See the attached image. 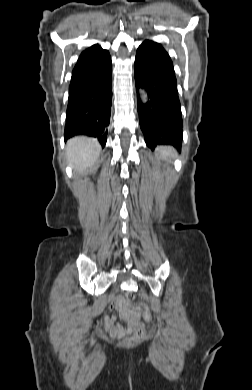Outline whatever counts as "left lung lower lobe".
<instances>
[{"label": "left lung lower lobe", "instance_id": "obj_1", "mask_svg": "<svg viewBox=\"0 0 252 390\" xmlns=\"http://www.w3.org/2000/svg\"><path fill=\"white\" fill-rule=\"evenodd\" d=\"M134 75L137 90L144 88L147 101L138 97L139 122L146 144L182 145L183 121L172 60L158 43L146 40L137 49Z\"/></svg>", "mask_w": 252, "mask_h": 390}]
</instances>
